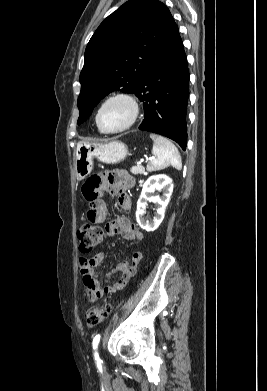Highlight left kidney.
<instances>
[{
	"mask_svg": "<svg viewBox=\"0 0 267 391\" xmlns=\"http://www.w3.org/2000/svg\"><path fill=\"white\" fill-rule=\"evenodd\" d=\"M155 191H162L163 194L152 196ZM173 192L172 179L166 175L150 176L143 184L142 192L137 201L136 220L139 226L150 232L156 230L162 223L166 207L170 201V196ZM147 201L157 204V212L153 220H147L144 217Z\"/></svg>",
	"mask_w": 267,
	"mask_h": 391,
	"instance_id": "5707ae66",
	"label": "left kidney"
}]
</instances>
